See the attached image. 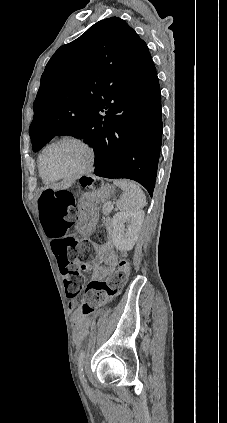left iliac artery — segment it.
I'll list each match as a JSON object with an SVG mask.
<instances>
[{
  "label": "left iliac artery",
  "mask_w": 227,
  "mask_h": 423,
  "mask_svg": "<svg viewBox=\"0 0 227 423\" xmlns=\"http://www.w3.org/2000/svg\"><path fill=\"white\" fill-rule=\"evenodd\" d=\"M85 357V351L82 350L78 356V373H79V378L81 381H83L84 379V375H83V360Z\"/></svg>",
  "instance_id": "obj_1"
}]
</instances>
